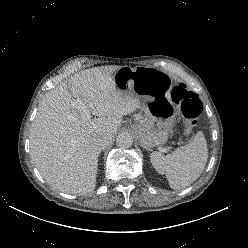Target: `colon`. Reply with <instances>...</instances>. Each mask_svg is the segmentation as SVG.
I'll return each mask as SVG.
<instances>
[{
  "instance_id": "5ec220e1",
  "label": "colon",
  "mask_w": 248,
  "mask_h": 248,
  "mask_svg": "<svg viewBox=\"0 0 248 248\" xmlns=\"http://www.w3.org/2000/svg\"><path fill=\"white\" fill-rule=\"evenodd\" d=\"M171 96L174 102L180 104L182 114L186 121V132L187 134H190L202 111V103L197 98L196 94L188 90L184 84L175 86Z\"/></svg>"
}]
</instances>
